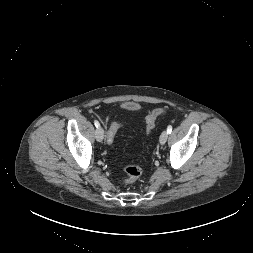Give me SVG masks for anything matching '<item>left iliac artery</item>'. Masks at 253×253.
<instances>
[{
    "label": "left iliac artery",
    "instance_id": "left-iliac-artery-1",
    "mask_svg": "<svg viewBox=\"0 0 253 253\" xmlns=\"http://www.w3.org/2000/svg\"><path fill=\"white\" fill-rule=\"evenodd\" d=\"M171 131H172V126L171 125H169L168 127H167V133H171Z\"/></svg>",
    "mask_w": 253,
    "mask_h": 253
}]
</instances>
